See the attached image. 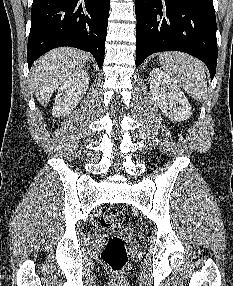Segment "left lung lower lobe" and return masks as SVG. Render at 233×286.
<instances>
[{
	"label": "left lung lower lobe",
	"mask_w": 233,
	"mask_h": 286,
	"mask_svg": "<svg viewBox=\"0 0 233 286\" xmlns=\"http://www.w3.org/2000/svg\"><path fill=\"white\" fill-rule=\"evenodd\" d=\"M136 66L149 55L182 51L203 61L213 79L217 64L213 0H136Z\"/></svg>",
	"instance_id": "1"
}]
</instances>
